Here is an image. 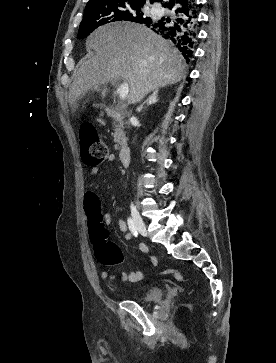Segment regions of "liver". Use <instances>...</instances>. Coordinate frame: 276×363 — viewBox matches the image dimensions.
Instances as JSON below:
<instances>
[{
    "mask_svg": "<svg viewBox=\"0 0 276 363\" xmlns=\"http://www.w3.org/2000/svg\"><path fill=\"white\" fill-rule=\"evenodd\" d=\"M86 46L95 54L82 59L74 73L69 102L112 80L129 85L128 102H140L149 92L175 84L185 77L182 55L150 28L131 22H116L96 29ZM107 88L101 91L105 97Z\"/></svg>",
    "mask_w": 276,
    "mask_h": 363,
    "instance_id": "6515ba94",
    "label": "liver"
}]
</instances>
